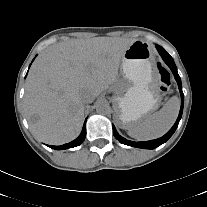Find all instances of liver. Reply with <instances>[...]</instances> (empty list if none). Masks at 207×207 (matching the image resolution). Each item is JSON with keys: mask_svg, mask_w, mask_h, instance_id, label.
Returning a JSON list of instances; mask_svg holds the SVG:
<instances>
[{"mask_svg": "<svg viewBox=\"0 0 207 207\" xmlns=\"http://www.w3.org/2000/svg\"><path fill=\"white\" fill-rule=\"evenodd\" d=\"M134 39H71L44 50L27 77L24 106L31 131L43 142L75 139L84 119L83 91L94 98L113 85L120 61Z\"/></svg>", "mask_w": 207, "mask_h": 207, "instance_id": "obj_1", "label": "liver"}]
</instances>
